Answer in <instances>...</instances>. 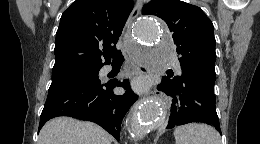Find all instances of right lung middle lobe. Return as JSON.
Segmentation results:
<instances>
[{"label":"right lung middle lobe","instance_id":"dd1d6c3e","mask_svg":"<svg viewBox=\"0 0 260 144\" xmlns=\"http://www.w3.org/2000/svg\"><path fill=\"white\" fill-rule=\"evenodd\" d=\"M101 67H71L52 71L51 86L61 85L69 82L90 83L100 81L98 72Z\"/></svg>","mask_w":260,"mask_h":144}]
</instances>
